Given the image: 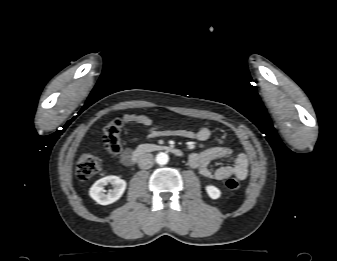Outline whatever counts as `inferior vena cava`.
I'll return each mask as SVG.
<instances>
[{"mask_svg": "<svg viewBox=\"0 0 337 261\" xmlns=\"http://www.w3.org/2000/svg\"><path fill=\"white\" fill-rule=\"evenodd\" d=\"M154 164V158L153 155L150 153L142 154L138 159V166L141 169H149Z\"/></svg>", "mask_w": 337, "mask_h": 261, "instance_id": "obj_1", "label": "inferior vena cava"}]
</instances>
